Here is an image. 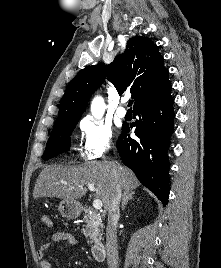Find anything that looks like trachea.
Wrapping results in <instances>:
<instances>
[{
    "label": "trachea",
    "instance_id": "obj_1",
    "mask_svg": "<svg viewBox=\"0 0 221 268\" xmlns=\"http://www.w3.org/2000/svg\"><path fill=\"white\" fill-rule=\"evenodd\" d=\"M133 104V100H130L129 103H128V106L131 107Z\"/></svg>",
    "mask_w": 221,
    "mask_h": 268
}]
</instances>
